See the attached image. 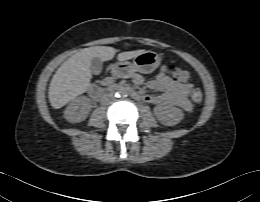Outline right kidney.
Segmentation results:
<instances>
[{
	"label": "right kidney",
	"instance_id": "right-kidney-1",
	"mask_svg": "<svg viewBox=\"0 0 260 202\" xmlns=\"http://www.w3.org/2000/svg\"><path fill=\"white\" fill-rule=\"evenodd\" d=\"M91 110V100L86 96L74 99L64 111V117L71 123L85 120Z\"/></svg>",
	"mask_w": 260,
	"mask_h": 202
}]
</instances>
